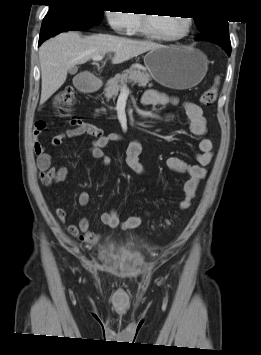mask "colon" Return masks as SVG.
<instances>
[{
    "label": "colon",
    "mask_w": 261,
    "mask_h": 355,
    "mask_svg": "<svg viewBox=\"0 0 261 355\" xmlns=\"http://www.w3.org/2000/svg\"><path fill=\"white\" fill-rule=\"evenodd\" d=\"M219 85H220V77H216L213 85L206 89L201 97L200 102L204 106H212L218 96L219 92ZM54 105L65 115H68L71 111V107L75 103L74 93L71 87H64L60 89L53 98ZM43 123L40 122L37 125H42ZM170 221L166 222V225H169Z\"/></svg>",
    "instance_id": "colon-1"
}]
</instances>
